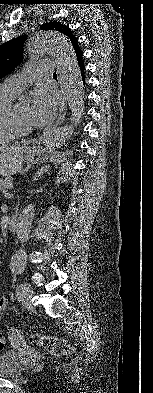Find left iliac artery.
<instances>
[{"label":"left iliac artery","mask_w":153,"mask_h":393,"mask_svg":"<svg viewBox=\"0 0 153 393\" xmlns=\"http://www.w3.org/2000/svg\"><path fill=\"white\" fill-rule=\"evenodd\" d=\"M28 288V286L27 285H23V284H21V285H19L18 287H17V290H16V296H17V298L18 299H23V296H24V292H25V290Z\"/></svg>","instance_id":"obj_1"}]
</instances>
